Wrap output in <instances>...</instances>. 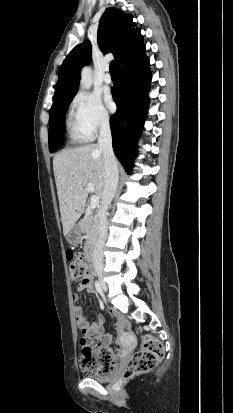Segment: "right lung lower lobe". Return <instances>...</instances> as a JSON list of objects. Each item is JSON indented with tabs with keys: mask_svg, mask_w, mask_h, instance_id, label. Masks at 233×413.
I'll list each match as a JSON object with an SVG mask.
<instances>
[{
	"mask_svg": "<svg viewBox=\"0 0 233 413\" xmlns=\"http://www.w3.org/2000/svg\"><path fill=\"white\" fill-rule=\"evenodd\" d=\"M117 71L119 81L112 94L118 109L110 118V127L114 153L130 173L149 104L151 74L145 46L121 61Z\"/></svg>",
	"mask_w": 233,
	"mask_h": 413,
	"instance_id": "1",
	"label": "right lung lower lobe"
}]
</instances>
